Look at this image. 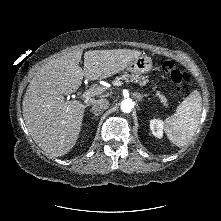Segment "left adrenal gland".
<instances>
[{
  "instance_id": "left-adrenal-gland-1",
  "label": "left adrenal gland",
  "mask_w": 221,
  "mask_h": 221,
  "mask_svg": "<svg viewBox=\"0 0 221 221\" xmlns=\"http://www.w3.org/2000/svg\"><path fill=\"white\" fill-rule=\"evenodd\" d=\"M135 95L137 96L139 101H141L143 97H147L148 96L147 94H140V93H136Z\"/></svg>"
}]
</instances>
